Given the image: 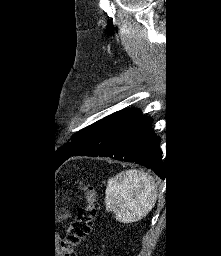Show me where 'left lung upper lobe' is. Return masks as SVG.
<instances>
[{
    "mask_svg": "<svg viewBox=\"0 0 221 256\" xmlns=\"http://www.w3.org/2000/svg\"><path fill=\"white\" fill-rule=\"evenodd\" d=\"M131 109H124L113 113L96 123L84 128L83 130L79 131L78 133L74 134L70 140V142L64 144L62 147L58 148L54 155V163L59 166L65 160L72 156V154L76 151V149L86 140L88 139L93 133H95L98 129H100L107 121L113 120L114 118L126 114Z\"/></svg>",
    "mask_w": 221,
    "mask_h": 256,
    "instance_id": "left-lung-upper-lobe-1",
    "label": "left lung upper lobe"
}]
</instances>
